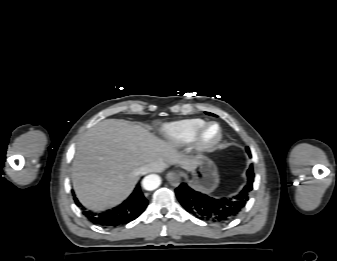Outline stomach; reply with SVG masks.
Listing matches in <instances>:
<instances>
[{
  "instance_id": "stomach-1",
  "label": "stomach",
  "mask_w": 337,
  "mask_h": 261,
  "mask_svg": "<svg viewBox=\"0 0 337 261\" xmlns=\"http://www.w3.org/2000/svg\"><path fill=\"white\" fill-rule=\"evenodd\" d=\"M191 173V185L198 190L210 193L218 186L217 167L212 160L205 156L198 158L197 166Z\"/></svg>"
}]
</instances>
